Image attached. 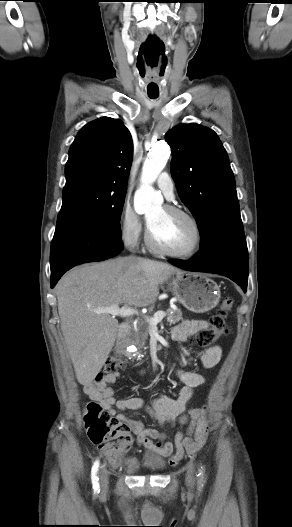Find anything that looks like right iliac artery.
I'll return each instance as SVG.
<instances>
[{
	"mask_svg": "<svg viewBox=\"0 0 292 527\" xmlns=\"http://www.w3.org/2000/svg\"><path fill=\"white\" fill-rule=\"evenodd\" d=\"M98 468H99V460H96L91 469V480H92L94 492H99L100 490L99 489L100 488L99 478L97 476Z\"/></svg>",
	"mask_w": 292,
	"mask_h": 527,
	"instance_id": "82829eb1",
	"label": "right iliac artery"
}]
</instances>
